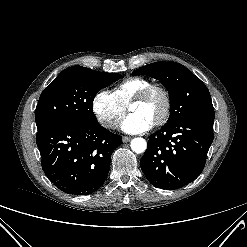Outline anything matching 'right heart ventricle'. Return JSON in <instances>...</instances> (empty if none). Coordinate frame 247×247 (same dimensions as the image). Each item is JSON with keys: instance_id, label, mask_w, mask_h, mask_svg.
<instances>
[{"instance_id": "obj_1", "label": "right heart ventricle", "mask_w": 247, "mask_h": 247, "mask_svg": "<svg viewBox=\"0 0 247 247\" xmlns=\"http://www.w3.org/2000/svg\"><path fill=\"white\" fill-rule=\"evenodd\" d=\"M150 84L145 78L129 77L116 85L113 94L122 105L126 106L139 91Z\"/></svg>"}]
</instances>
